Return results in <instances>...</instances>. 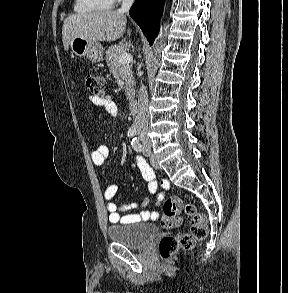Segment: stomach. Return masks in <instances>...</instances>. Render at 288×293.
I'll return each mask as SVG.
<instances>
[{
	"label": "stomach",
	"instance_id": "stomach-1",
	"mask_svg": "<svg viewBox=\"0 0 288 293\" xmlns=\"http://www.w3.org/2000/svg\"><path fill=\"white\" fill-rule=\"evenodd\" d=\"M69 47L73 55L86 57L91 62L96 63L103 60V47L99 42H93L83 37H74Z\"/></svg>",
	"mask_w": 288,
	"mask_h": 293
}]
</instances>
